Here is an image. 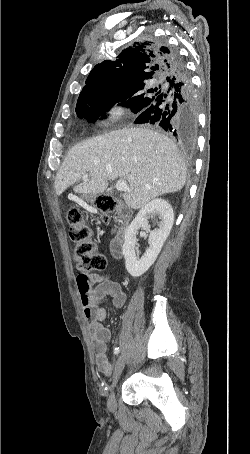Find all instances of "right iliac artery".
Returning a JSON list of instances; mask_svg holds the SVG:
<instances>
[{"instance_id":"right-iliac-artery-1","label":"right iliac artery","mask_w":250,"mask_h":454,"mask_svg":"<svg viewBox=\"0 0 250 454\" xmlns=\"http://www.w3.org/2000/svg\"><path fill=\"white\" fill-rule=\"evenodd\" d=\"M119 352H120L119 348L116 347V348L114 349V354H118Z\"/></svg>"}]
</instances>
